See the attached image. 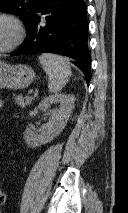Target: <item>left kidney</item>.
<instances>
[{
  "instance_id": "1",
  "label": "left kidney",
  "mask_w": 128,
  "mask_h": 213,
  "mask_svg": "<svg viewBox=\"0 0 128 213\" xmlns=\"http://www.w3.org/2000/svg\"><path fill=\"white\" fill-rule=\"evenodd\" d=\"M59 103V108L49 111L52 104ZM39 109L49 111V121L40 127L39 130L33 131L26 128L24 139L30 147H39L51 142L60 134L66 126L70 114L74 108V97L69 94H55L46 97L38 106Z\"/></svg>"
}]
</instances>
